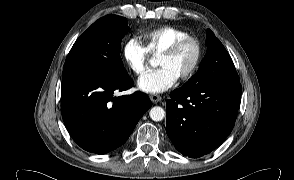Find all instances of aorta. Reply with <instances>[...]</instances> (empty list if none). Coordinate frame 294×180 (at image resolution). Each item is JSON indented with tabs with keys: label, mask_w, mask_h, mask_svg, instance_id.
Masks as SVG:
<instances>
[{
	"label": "aorta",
	"mask_w": 294,
	"mask_h": 180,
	"mask_svg": "<svg viewBox=\"0 0 294 180\" xmlns=\"http://www.w3.org/2000/svg\"><path fill=\"white\" fill-rule=\"evenodd\" d=\"M149 115L153 121L158 122V121L163 120V118L165 117V111L162 107L155 106V107L151 108Z\"/></svg>",
	"instance_id": "obj_1"
}]
</instances>
